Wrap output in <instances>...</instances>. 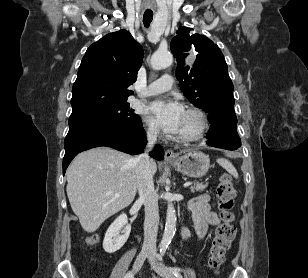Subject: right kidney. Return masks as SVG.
<instances>
[{"mask_svg": "<svg viewBox=\"0 0 308 278\" xmlns=\"http://www.w3.org/2000/svg\"><path fill=\"white\" fill-rule=\"evenodd\" d=\"M131 231V225L125 214L115 219L105 233L103 248L107 253H114L119 250L127 241ZM120 232L122 234H120Z\"/></svg>", "mask_w": 308, "mask_h": 278, "instance_id": "right-kidney-1", "label": "right kidney"}]
</instances>
